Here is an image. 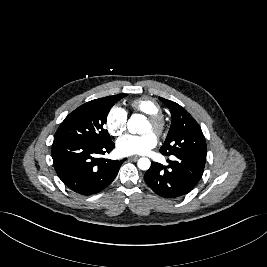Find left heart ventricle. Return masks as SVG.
Listing matches in <instances>:
<instances>
[{"mask_svg": "<svg viewBox=\"0 0 267 267\" xmlns=\"http://www.w3.org/2000/svg\"><path fill=\"white\" fill-rule=\"evenodd\" d=\"M151 131H152L151 125H150L149 122H147L143 132L144 133H148V132H151Z\"/></svg>", "mask_w": 267, "mask_h": 267, "instance_id": "1", "label": "left heart ventricle"}]
</instances>
